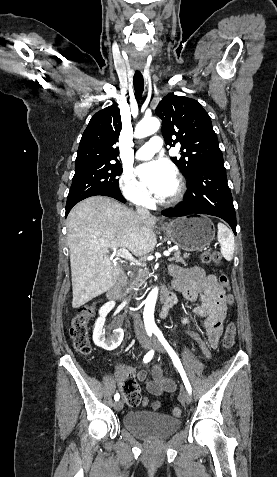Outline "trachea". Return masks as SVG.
Here are the masks:
<instances>
[{"mask_svg": "<svg viewBox=\"0 0 277 477\" xmlns=\"http://www.w3.org/2000/svg\"><path fill=\"white\" fill-rule=\"evenodd\" d=\"M133 85H134V89H135V92H136L137 96L141 97L142 93L144 91V79H143V75L140 71H136L134 73Z\"/></svg>", "mask_w": 277, "mask_h": 477, "instance_id": "1", "label": "trachea"}]
</instances>
